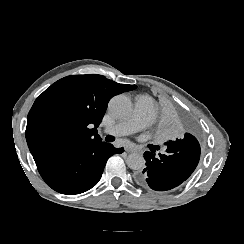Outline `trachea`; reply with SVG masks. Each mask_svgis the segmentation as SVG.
<instances>
[{
  "label": "trachea",
  "instance_id": "obj_1",
  "mask_svg": "<svg viewBox=\"0 0 244 244\" xmlns=\"http://www.w3.org/2000/svg\"><path fill=\"white\" fill-rule=\"evenodd\" d=\"M114 140H115V138H114L113 136L108 135V136L106 137V141H107V142H112V141H114Z\"/></svg>",
  "mask_w": 244,
  "mask_h": 244
}]
</instances>
